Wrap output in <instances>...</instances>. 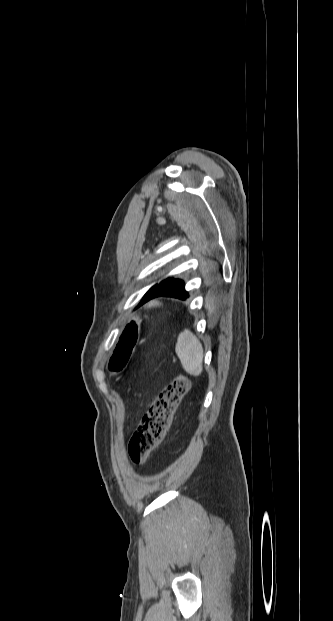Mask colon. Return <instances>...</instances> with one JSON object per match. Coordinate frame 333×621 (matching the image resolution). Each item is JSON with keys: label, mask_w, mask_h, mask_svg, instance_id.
<instances>
[{"label": "colon", "mask_w": 333, "mask_h": 621, "mask_svg": "<svg viewBox=\"0 0 333 621\" xmlns=\"http://www.w3.org/2000/svg\"><path fill=\"white\" fill-rule=\"evenodd\" d=\"M189 389V379L179 374L154 400L129 441L128 453L134 464H144L161 443L176 409Z\"/></svg>", "instance_id": "1"}]
</instances>
